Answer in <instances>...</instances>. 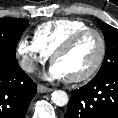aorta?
<instances>
[{
    "mask_svg": "<svg viewBox=\"0 0 118 118\" xmlns=\"http://www.w3.org/2000/svg\"><path fill=\"white\" fill-rule=\"evenodd\" d=\"M51 99L53 103L59 107L65 106L69 101L67 93L63 90H56L52 92Z\"/></svg>",
    "mask_w": 118,
    "mask_h": 118,
    "instance_id": "762f6f07",
    "label": "aorta"
}]
</instances>
